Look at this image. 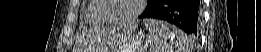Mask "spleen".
<instances>
[{
    "label": "spleen",
    "mask_w": 261,
    "mask_h": 52,
    "mask_svg": "<svg viewBox=\"0 0 261 52\" xmlns=\"http://www.w3.org/2000/svg\"><path fill=\"white\" fill-rule=\"evenodd\" d=\"M151 52H192L193 41L183 31L166 22L146 19Z\"/></svg>",
    "instance_id": "spleen-1"
}]
</instances>
